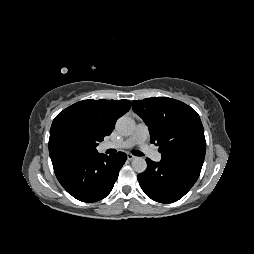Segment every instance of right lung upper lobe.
I'll return each mask as SVG.
<instances>
[{
	"label": "right lung upper lobe",
	"mask_w": 254,
	"mask_h": 254,
	"mask_svg": "<svg viewBox=\"0 0 254 254\" xmlns=\"http://www.w3.org/2000/svg\"><path fill=\"white\" fill-rule=\"evenodd\" d=\"M128 100H83L60 112L50 129L49 154H99V142L111 134L119 117L129 111Z\"/></svg>",
	"instance_id": "cb5924a9"
}]
</instances>
